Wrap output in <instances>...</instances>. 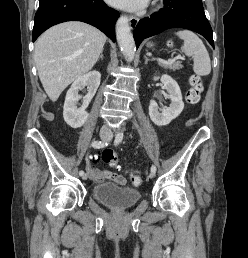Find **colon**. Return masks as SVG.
Returning a JSON list of instances; mask_svg holds the SVG:
<instances>
[{
    "label": "colon",
    "mask_w": 248,
    "mask_h": 258,
    "mask_svg": "<svg viewBox=\"0 0 248 258\" xmlns=\"http://www.w3.org/2000/svg\"><path fill=\"white\" fill-rule=\"evenodd\" d=\"M203 90V82L202 78L198 74H193L190 78V88L186 93V102L190 105H195L199 102L201 93ZM102 150L104 151L102 154V159L104 162L108 163L110 166L117 169L118 159L114 152L109 150L108 146H103ZM98 160H100V155L98 152H95V155H89L87 161H85V172L86 173H97V164ZM129 164V163H128ZM141 183V178L137 175H132V184L134 186H138Z\"/></svg>",
    "instance_id": "obj_1"
}]
</instances>
